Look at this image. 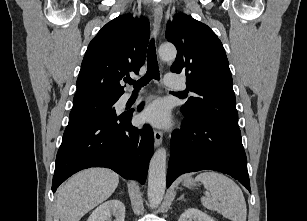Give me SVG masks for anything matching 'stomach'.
Wrapping results in <instances>:
<instances>
[{
    "label": "stomach",
    "instance_id": "stomach-1",
    "mask_svg": "<svg viewBox=\"0 0 307 221\" xmlns=\"http://www.w3.org/2000/svg\"><path fill=\"white\" fill-rule=\"evenodd\" d=\"M197 184V180L196 179H192L190 177H186L183 181V185L188 187V188H191L193 186H196Z\"/></svg>",
    "mask_w": 307,
    "mask_h": 221
}]
</instances>
